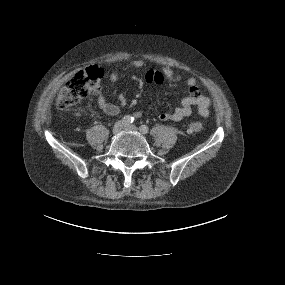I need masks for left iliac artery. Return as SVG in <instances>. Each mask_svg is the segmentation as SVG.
I'll use <instances>...</instances> for the list:
<instances>
[{"instance_id":"44dca946","label":"left iliac artery","mask_w":285,"mask_h":285,"mask_svg":"<svg viewBox=\"0 0 285 285\" xmlns=\"http://www.w3.org/2000/svg\"><path fill=\"white\" fill-rule=\"evenodd\" d=\"M139 130L143 133L146 134L148 133V127L146 125H141Z\"/></svg>"}]
</instances>
